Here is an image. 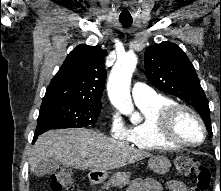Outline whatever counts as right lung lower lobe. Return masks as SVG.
I'll return each mask as SVG.
<instances>
[{"mask_svg": "<svg viewBox=\"0 0 221 191\" xmlns=\"http://www.w3.org/2000/svg\"><path fill=\"white\" fill-rule=\"evenodd\" d=\"M38 135H40V133H35L34 138H33V143L37 140Z\"/></svg>", "mask_w": 221, "mask_h": 191, "instance_id": "1", "label": "right lung lower lobe"}]
</instances>
